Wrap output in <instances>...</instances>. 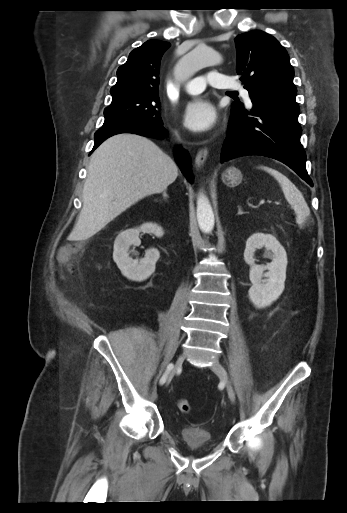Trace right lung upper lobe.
Segmentation results:
<instances>
[{
  "instance_id": "right-lung-upper-lobe-1",
  "label": "right lung upper lobe",
  "mask_w": 347,
  "mask_h": 513,
  "mask_svg": "<svg viewBox=\"0 0 347 513\" xmlns=\"http://www.w3.org/2000/svg\"><path fill=\"white\" fill-rule=\"evenodd\" d=\"M169 47V42L148 40L134 49L127 62L117 70V83L110 90L112 97L158 93L160 60Z\"/></svg>"
}]
</instances>
